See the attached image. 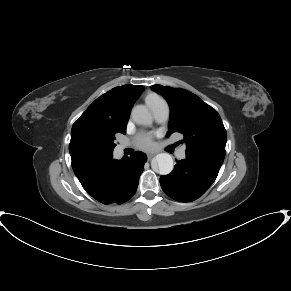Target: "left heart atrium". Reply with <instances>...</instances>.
<instances>
[{"mask_svg":"<svg viewBox=\"0 0 291 291\" xmlns=\"http://www.w3.org/2000/svg\"><path fill=\"white\" fill-rule=\"evenodd\" d=\"M136 141H137L138 145L144 149L150 148L153 145L152 139H151L150 135H148L147 133H140L136 137Z\"/></svg>","mask_w":291,"mask_h":291,"instance_id":"obj_1","label":"left heart atrium"}]
</instances>
